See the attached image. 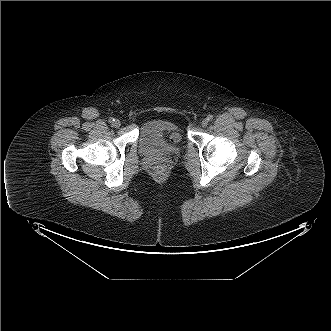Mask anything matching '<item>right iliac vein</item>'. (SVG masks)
Wrapping results in <instances>:
<instances>
[{
    "label": "right iliac vein",
    "instance_id": "right-iliac-vein-1",
    "mask_svg": "<svg viewBox=\"0 0 331 331\" xmlns=\"http://www.w3.org/2000/svg\"><path fill=\"white\" fill-rule=\"evenodd\" d=\"M120 125H121V122H120L119 120H115V121L113 122V126H114L115 128H119Z\"/></svg>",
    "mask_w": 331,
    "mask_h": 331
}]
</instances>
